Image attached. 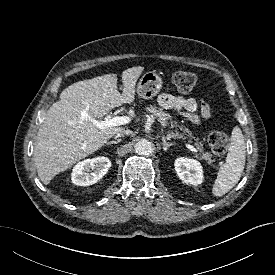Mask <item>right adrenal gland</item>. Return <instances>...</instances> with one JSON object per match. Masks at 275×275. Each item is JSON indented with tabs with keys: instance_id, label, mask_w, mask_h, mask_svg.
<instances>
[{
	"instance_id": "right-adrenal-gland-1",
	"label": "right adrenal gland",
	"mask_w": 275,
	"mask_h": 275,
	"mask_svg": "<svg viewBox=\"0 0 275 275\" xmlns=\"http://www.w3.org/2000/svg\"><path fill=\"white\" fill-rule=\"evenodd\" d=\"M121 141V139H117V140H113V141H109L106 143V145H110V144H118Z\"/></svg>"
}]
</instances>
